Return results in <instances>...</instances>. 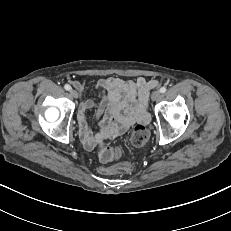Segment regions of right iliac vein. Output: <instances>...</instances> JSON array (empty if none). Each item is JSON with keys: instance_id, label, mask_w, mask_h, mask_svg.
Listing matches in <instances>:
<instances>
[{"instance_id": "right-iliac-vein-1", "label": "right iliac vein", "mask_w": 231, "mask_h": 231, "mask_svg": "<svg viewBox=\"0 0 231 231\" xmlns=\"http://www.w3.org/2000/svg\"><path fill=\"white\" fill-rule=\"evenodd\" d=\"M70 94L73 98H78V92L76 90H70Z\"/></svg>"}]
</instances>
